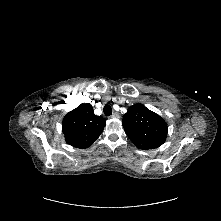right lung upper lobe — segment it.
<instances>
[{
    "instance_id": "cb5924a9",
    "label": "right lung upper lobe",
    "mask_w": 221,
    "mask_h": 221,
    "mask_svg": "<svg viewBox=\"0 0 221 221\" xmlns=\"http://www.w3.org/2000/svg\"><path fill=\"white\" fill-rule=\"evenodd\" d=\"M105 125L106 120L96 116L89 103H83L63 118L62 132L69 145L84 149L97 140Z\"/></svg>"
}]
</instances>
